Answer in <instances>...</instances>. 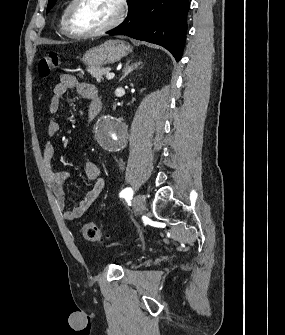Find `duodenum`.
Listing matches in <instances>:
<instances>
[{"mask_svg":"<svg viewBox=\"0 0 285 335\" xmlns=\"http://www.w3.org/2000/svg\"><path fill=\"white\" fill-rule=\"evenodd\" d=\"M100 108H101V102L100 101H96L90 106V108L88 109V112H87L88 121L93 120L97 116V114L100 111Z\"/></svg>","mask_w":285,"mask_h":335,"instance_id":"obj_1","label":"duodenum"}]
</instances>
